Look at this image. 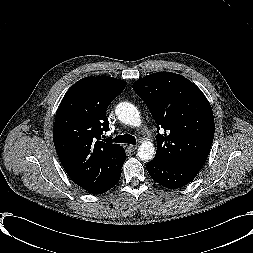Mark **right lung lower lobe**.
Returning <instances> with one entry per match:
<instances>
[{
    "instance_id": "obj_1",
    "label": "right lung lower lobe",
    "mask_w": 253,
    "mask_h": 253,
    "mask_svg": "<svg viewBox=\"0 0 253 253\" xmlns=\"http://www.w3.org/2000/svg\"><path fill=\"white\" fill-rule=\"evenodd\" d=\"M120 177H121V170L117 174H115L111 178V180L100 191H98L95 194H101V193H104V192L108 191L109 189H111L113 186L116 185V183L119 181Z\"/></svg>"
}]
</instances>
